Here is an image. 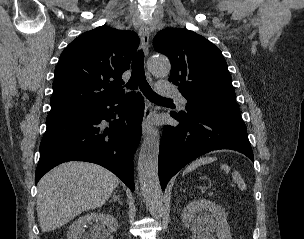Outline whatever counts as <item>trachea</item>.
I'll use <instances>...</instances> for the list:
<instances>
[{
	"instance_id": "3493384b",
	"label": "trachea",
	"mask_w": 304,
	"mask_h": 239,
	"mask_svg": "<svg viewBox=\"0 0 304 239\" xmlns=\"http://www.w3.org/2000/svg\"><path fill=\"white\" fill-rule=\"evenodd\" d=\"M126 86L129 89H136L139 87L143 94L146 96V98H148L150 101H172L171 99L161 97L157 93H155L147 82L144 72V54L142 50L138 51L132 61V74Z\"/></svg>"
}]
</instances>
